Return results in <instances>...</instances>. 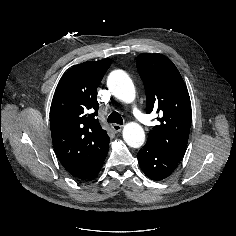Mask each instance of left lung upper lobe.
Wrapping results in <instances>:
<instances>
[{
	"label": "left lung upper lobe",
	"mask_w": 236,
	"mask_h": 236,
	"mask_svg": "<svg viewBox=\"0 0 236 236\" xmlns=\"http://www.w3.org/2000/svg\"><path fill=\"white\" fill-rule=\"evenodd\" d=\"M146 93V112L160 115V125L148 135L146 144L180 162L190 132L192 110L186 85L171 60L162 54H140L136 60Z\"/></svg>",
	"instance_id": "5c2ea615"
}]
</instances>
